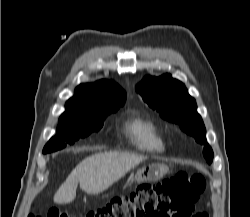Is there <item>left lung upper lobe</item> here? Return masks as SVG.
Segmentation results:
<instances>
[{"label":"left lung upper lobe","instance_id":"5c2ea615","mask_svg":"<svg viewBox=\"0 0 250 217\" xmlns=\"http://www.w3.org/2000/svg\"><path fill=\"white\" fill-rule=\"evenodd\" d=\"M136 91L162 118L178 123L183 131L203 144V155L209 164L212 162L213 151L206 141L204 123L197 112L195 99L188 94L182 82L173 79L170 74L146 76L136 86Z\"/></svg>","mask_w":250,"mask_h":217}]
</instances>
